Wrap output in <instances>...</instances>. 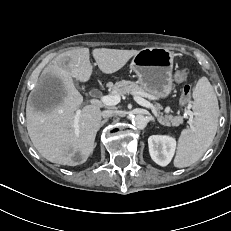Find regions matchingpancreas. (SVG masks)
I'll return each instance as SVG.
<instances>
[{
    "instance_id": "pancreas-1",
    "label": "pancreas",
    "mask_w": 231,
    "mask_h": 231,
    "mask_svg": "<svg viewBox=\"0 0 231 231\" xmlns=\"http://www.w3.org/2000/svg\"><path fill=\"white\" fill-rule=\"evenodd\" d=\"M111 93L119 96H123L126 94L140 95L143 97L148 96V92H146L137 82L126 80H121L112 85ZM156 109H161V106L157 105ZM159 120H161V123L166 126H178L180 123H182V117L180 116L165 115L163 117L161 115L159 116Z\"/></svg>"
}]
</instances>
